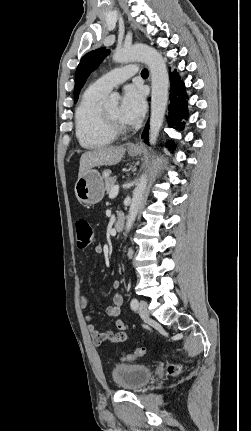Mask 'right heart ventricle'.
Masks as SVG:
<instances>
[{"label":"right heart ventricle","instance_id":"right-heart-ventricle-1","mask_svg":"<svg viewBox=\"0 0 251 431\" xmlns=\"http://www.w3.org/2000/svg\"><path fill=\"white\" fill-rule=\"evenodd\" d=\"M106 95L92 85L83 93L75 111V131L80 145L95 149L109 145L115 139L104 124L101 100Z\"/></svg>","mask_w":251,"mask_h":431}]
</instances>
